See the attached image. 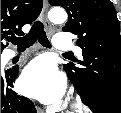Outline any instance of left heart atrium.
Instances as JSON below:
<instances>
[{
	"mask_svg": "<svg viewBox=\"0 0 121 113\" xmlns=\"http://www.w3.org/2000/svg\"><path fill=\"white\" fill-rule=\"evenodd\" d=\"M20 85L25 94L43 103L58 102L66 89L64 76L45 58L36 59L25 69Z\"/></svg>",
	"mask_w": 121,
	"mask_h": 113,
	"instance_id": "obj_1",
	"label": "left heart atrium"
}]
</instances>
